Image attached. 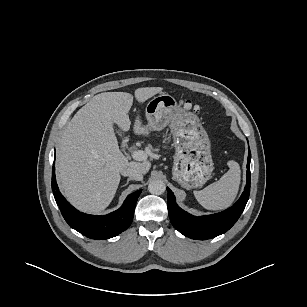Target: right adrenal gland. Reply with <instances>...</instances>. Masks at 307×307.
<instances>
[{
    "label": "right adrenal gland",
    "mask_w": 307,
    "mask_h": 307,
    "mask_svg": "<svg viewBox=\"0 0 307 307\" xmlns=\"http://www.w3.org/2000/svg\"><path fill=\"white\" fill-rule=\"evenodd\" d=\"M131 180H132V178H128L127 181H126V183H125L122 187L128 185L129 181H131Z\"/></svg>",
    "instance_id": "right-adrenal-gland-1"
}]
</instances>
